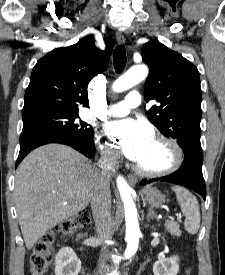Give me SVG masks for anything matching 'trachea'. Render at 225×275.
I'll use <instances>...</instances> for the list:
<instances>
[{"label":"trachea","instance_id":"1","mask_svg":"<svg viewBox=\"0 0 225 275\" xmlns=\"http://www.w3.org/2000/svg\"><path fill=\"white\" fill-rule=\"evenodd\" d=\"M114 68L117 73H121L126 66V50L123 45L115 48L113 53Z\"/></svg>","mask_w":225,"mask_h":275}]
</instances>
